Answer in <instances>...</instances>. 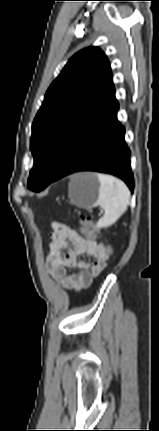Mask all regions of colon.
<instances>
[{"label":"colon","mask_w":159,"mask_h":431,"mask_svg":"<svg viewBox=\"0 0 159 431\" xmlns=\"http://www.w3.org/2000/svg\"><path fill=\"white\" fill-rule=\"evenodd\" d=\"M94 225L95 222L92 219H79V227L83 232L84 237H89L91 235ZM94 236L96 237V240H99L100 237H103V232H95ZM105 253H108L110 258L114 255V252L109 247H106Z\"/></svg>","instance_id":"5ec220e1"}]
</instances>
